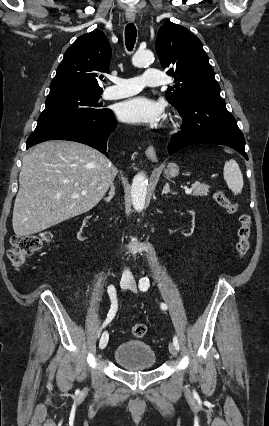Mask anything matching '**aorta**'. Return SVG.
Instances as JSON below:
<instances>
[{
  "mask_svg": "<svg viewBox=\"0 0 269 426\" xmlns=\"http://www.w3.org/2000/svg\"><path fill=\"white\" fill-rule=\"evenodd\" d=\"M154 60V54L150 50L137 51L132 57V63L136 67H142L150 64ZM148 181L143 173H138L132 181L131 200L134 209L138 212L142 211L145 206L147 195Z\"/></svg>",
  "mask_w": 269,
  "mask_h": 426,
  "instance_id": "obj_1",
  "label": "aorta"
}]
</instances>
